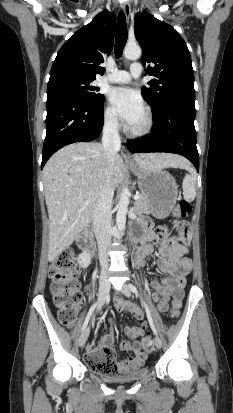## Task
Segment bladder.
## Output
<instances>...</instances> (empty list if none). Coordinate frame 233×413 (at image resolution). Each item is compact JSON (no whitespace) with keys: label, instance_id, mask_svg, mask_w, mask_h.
<instances>
[{"label":"bladder","instance_id":"obj_1","mask_svg":"<svg viewBox=\"0 0 233 413\" xmlns=\"http://www.w3.org/2000/svg\"><path fill=\"white\" fill-rule=\"evenodd\" d=\"M148 371L149 370L146 366L140 365L136 367L127 368L123 370L122 372L114 374V375H108V374H102V373H99V374L106 381L120 383V382H128V381L140 379L144 377L148 373Z\"/></svg>","mask_w":233,"mask_h":413}]
</instances>
